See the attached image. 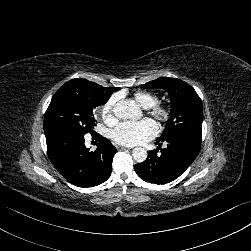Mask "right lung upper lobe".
Instances as JSON below:
<instances>
[{"label": "right lung upper lobe", "mask_w": 251, "mask_h": 251, "mask_svg": "<svg viewBox=\"0 0 251 251\" xmlns=\"http://www.w3.org/2000/svg\"><path fill=\"white\" fill-rule=\"evenodd\" d=\"M73 80L89 82V83L94 84L95 86L101 88L103 91L108 92L109 94H112L113 91H116V90L119 89V88H114V87L104 88V87H102V86H100V85H98V84H95V83H93V82H90V81H88V80H86V79H73ZM73 80H70V81H73ZM110 96H111V95H110Z\"/></svg>", "instance_id": "obj_1"}]
</instances>
